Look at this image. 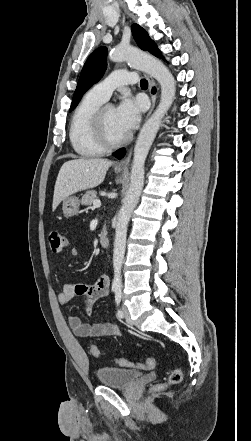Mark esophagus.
I'll return each instance as SVG.
<instances>
[{"mask_svg":"<svg viewBox=\"0 0 251 441\" xmlns=\"http://www.w3.org/2000/svg\"><path fill=\"white\" fill-rule=\"evenodd\" d=\"M146 76H147V78H148V81H149V89H150V91H151L152 87L155 85V82H154V80H153L152 77H150L149 75H146ZM154 107H155V96L151 94V107H150V109H149V111H148V113H147L146 118H148V117L151 115V113H152ZM131 155H132V148H130V149L128 150L126 157H125L123 160L119 161V162L115 165V167L118 168V169H126L127 166H128V164H129V162H130Z\"/></svg>","mask_w":251,"mask_h":441,"instance_id":"esophagus-1","label":"esophagus"}]
</instances>
